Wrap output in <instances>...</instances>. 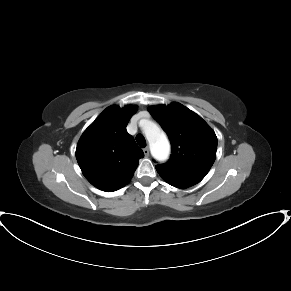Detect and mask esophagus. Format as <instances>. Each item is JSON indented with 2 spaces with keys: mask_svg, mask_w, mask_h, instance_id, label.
Returning <instances> with one entry per match:
<instances>
[{
  "mask_svg": "<svg viewBox=\"0 0 291 291\" xmlns=\"http://www.w3.org/2000/svg\"><path fill=\"white\" fill-rule=\"evenodd\" d=\"M143 152H144V154H145L146 157L149 156V148L148 147L144 148L143 149Z\"/></svg>",
  "mask_w": 291,
  "mask_h": 291,
  "instance_id": "34e87169",
  "label": "esophagus"
}]
</instances>
